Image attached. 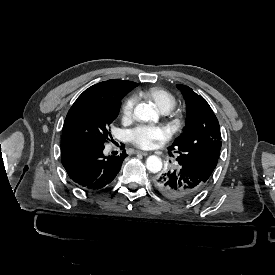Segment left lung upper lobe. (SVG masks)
<instances>
[{"mask_svg":"<svg viewBox=\"0 0 275 275\" xmlns=\"http://www.w3.org/2000/svg\"><path fill=\"white\" fill-rule=\"evenodd\" d=\"M187 105L183 133L168 147L170 155L177 153L181 167L207 182L215 169L221 149L218 120L207 101L190 87L177 85Z\"/></svg>","mask_w":275,"mask_h":275,"instance_id":"5c2ea615","label":"left lung upper lobe"}]
</instances>
